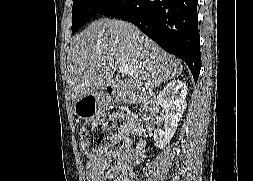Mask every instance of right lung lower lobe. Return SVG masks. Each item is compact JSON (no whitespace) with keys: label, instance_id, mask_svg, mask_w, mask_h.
<instances>
[{"label":"right lung lower lobe","instance_id":"obj_1","mask_svg":"<svg viewBox=\"0 0 253 181\" xmlns=\"http://www.w3.org/2000/svg\"><path fill=\"white\" fill-rule=\"evenodd\" d=\"M198 0H130L111 16L132 22L167 52L182 59L197 82L200 68Z\"/></svg>","mask_w":253,"mask_h":181}]
</instances>
